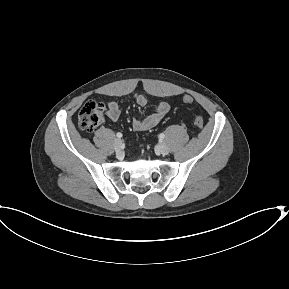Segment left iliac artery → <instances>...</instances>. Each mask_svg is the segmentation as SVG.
I'll list each match as a JSON object with an SVG mask.
<instances>
[{
  "mask_svg": "<svg viewBox=\"0 0 289 289\" xmlns=\"http://www.w3.org/2000/svg\"><path fill=\"white\" fill-rule=\"evenodd\" d=\"M164 137H165V135H164L163 133H161V134L159 135V138H160V139H164Z\"/></svg>",
  "mask_w": 289,
  "mask_h": 289,
  "instance_id": "1",
  "label": "left iliac artery"
}]
</instances>
